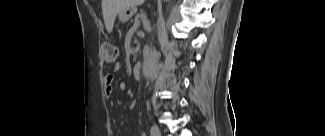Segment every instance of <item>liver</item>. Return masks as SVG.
<instances>
[{"label": "liver", "instance_id": "liver-1", "mask_svg": "<svg viewBox=\"0 0 325 136\" xmlns=\"http://www.w3.org/2000/svg\"><path fill=\"white\" fill-rule=\"evenodd\" d=\"M143 2L144 0H102V13L107 32H112L117 14Z\"/></svg>", "mask_w": 325, "mask_h": 136}]
</instances>
